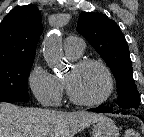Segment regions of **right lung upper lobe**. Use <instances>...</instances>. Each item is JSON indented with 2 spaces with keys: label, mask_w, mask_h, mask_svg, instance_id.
Here are the masks:
<instances>
[{
  "label": "right lung upper lobe",
  "mask_w": 144,
  "mask_h": 137,
  "mask_svg": "<svg viewBox=\"0 0 144 137\" xmlns=\"http://www.w3.org/2000/svg\"><path fill=\"white\" fill-rule=\"evenodd\" d=\"M42 17L35 5L19 6L0 24V63L35 57L43 31Z\"/></svg>",
  "instance_id": "cb5924a9"
}]
</instances>
